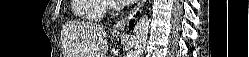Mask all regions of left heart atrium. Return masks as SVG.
Instances as JSON below:
<instances>
[{"label":"left heart atrium","instance_id":"39dd6f15","mask_svg":"<svg viewBox=\"0 0 249 57\" xmlns=\"http://www.w3.org/2000/svg\"><path fill=\"white\" fill-rule=\"evenodd\" d=\"M121 2H130L129 0H121Z\"/></svg>","mask_w":249,"mask_h":57}]
</instances>
